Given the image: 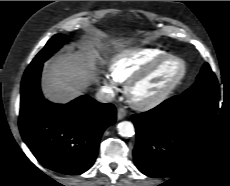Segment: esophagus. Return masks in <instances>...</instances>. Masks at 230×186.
I'll list each match as a JSON object with an SVG mask.
<instances>
[{"label":"esophagus","instance_id":"esophagus-1","mask_svg":"<svg viewBox=\"0 0 230 186\" xmlns=\"http://www.w3.org/2000/svg\"><path fill=\"white\" fill-rule=\"evenodd\" d=\"M126 111L123 108H119L117 111V119L122 120L126 116Z\"/></svg>","mask_w":230,"mask_h":186}]
</instances>
